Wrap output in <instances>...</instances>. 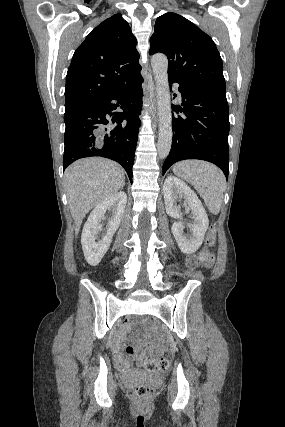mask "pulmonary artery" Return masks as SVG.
<instances>
[{"mask_svg": "<svg viewBox=\"0 0 285 427\" xmlns=\"http://www.w3.org/2000/svg\"><path fill=\"white\" fill-rule=\"evenodd\" d=\"M174 86H175V88L177 89V85L175 84Z\"/></svg>", "mask_w": 285, "mask_h": 427, "instance_id": "pulmonary-artery-1", "label": "pulmonary artery"}]
</instances>
